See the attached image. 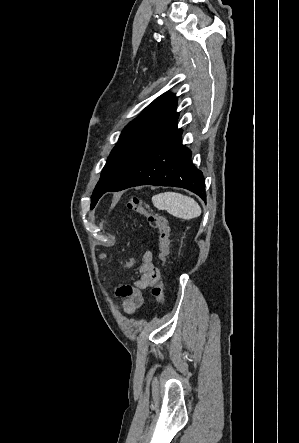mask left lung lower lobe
I'll return each mask as SVG.
<instances>
[{
  "instance_id": "obj_1",
  "label": "left lung lower lobe",
  "mask_w": 299,
  "mask_h": 443,
  "mask_svg": "<svg viewBox=\"0 0 299 443\" xmlns=\"http://www.w3.org/2000/svg\"><path fill=\"white\" fill-rule=\"evenodd\" d=\"M181 136V129L174 130L104 193L139 185L174 186L188 189L205 200L203 174L191 162V151L182 145Z\"/></svg>"
}]
</instances>
